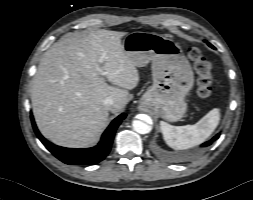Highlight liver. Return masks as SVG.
Masks as SVG:
<instances>
[{
  "instance_id": "1",
  "label": "liver",
  "mask_w": 253,
  "mask_h": 200,
  "mask_svg": "<svg viewBox=\"0 0 253 200\" xmlns=\"http://www.w3.org/2000/svg\"><path fill=\"white\" fill-rule=\"evenodd\" d=\"M126 34L100 29L62 39L43 54L33 78L32 110L44 137L65 147L91 146L109 116L104 99L114 100L112 113L124 108L128 90L139 82L121 42ZM100 69L118 87L108 85Z\"/></svg>"
}]
</instances>
